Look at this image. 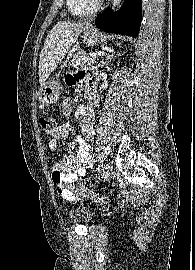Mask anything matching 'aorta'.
<instances>
[{"label": "aorta", "instance_id": "762f6f07", "mask_svg": "<svg viewBox=\"0 0 195 270\" xmlns=\"http://www.w3.org/2000/svg\"><path fill=\"white\" fill-rule=\"evenodd\" d=\"M123 0H112V10H115L120 6Z\"/></svg>", "mask_w": 195, "mask_h": 270}]
</instances>
